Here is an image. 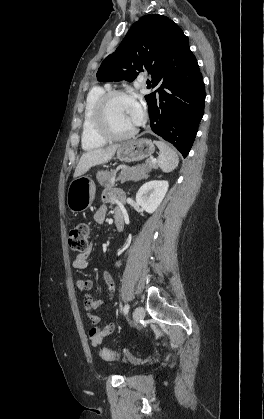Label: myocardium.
<instances>
[{
    "instance_id": "1",
    "label": "myocardium",
    "mask_w": 264,
    "mask_h": 419,
    "mask_svg": "<svg viewBox=\"0 0 264 419\" xmlns=\"http://www.w3.org/2000/svg\"><path fill=\"white\" fill-rule=\"evenodd\" d=\"M118 97L131 98V95L123 90L107 91L99 98L94 108V129L96 133L106 141L125 140L133 136L137 131L136 127L123 133H116L112 130L108 119V107L111 101Z\"/></svg>"
}]
</instances>
